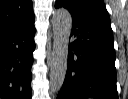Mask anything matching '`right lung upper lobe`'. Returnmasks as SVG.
Returning a JSON list of instances; mask_svg holds the SVG:
<instances>
[{"label":"right lung upper lobe","mask_w":128,"mask_h":99,"mask_svg":"<svg viewBox=\"0 0 128 99\" xmlns=\"http://www.w3.org/2000/svg\"><path fill=\"white\" fill-rule=\"evenodd\" d=\"M33 13L31 0H0V31Z\"/></svg>","instance_id":"cb5924a9"}]
</instances>
